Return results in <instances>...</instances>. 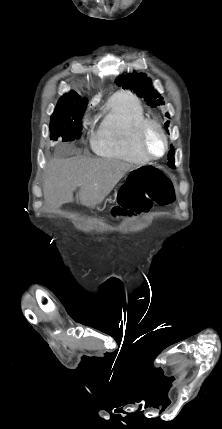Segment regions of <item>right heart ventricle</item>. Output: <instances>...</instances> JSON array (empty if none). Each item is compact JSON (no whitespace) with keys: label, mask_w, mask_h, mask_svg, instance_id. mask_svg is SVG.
<instances>
[{"label":"right heart ventricle","mask_w":222,"mask_h":429,"mask_svg":"<svg viewBox=\"0 0 222 429\" xmlns=\"http://www.w3.org/2000/svg\"><path fill=\"white\" fill-rule=\"evenodd\" d=\"M145 119L143 106L136 96L127 91L115 93L106 104L101 125L91 137L94 151L130 163H148L150 159L138 145L139 127Z\"/></svg>","instance_id":"obj_1"}]
</instances>
